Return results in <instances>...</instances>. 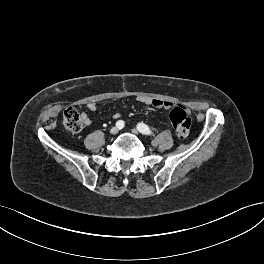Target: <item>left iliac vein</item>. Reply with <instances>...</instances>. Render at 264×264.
Listing matches in <instances>:
<instances>
[{
    "label": "left iliac vein",
    "instance_id": "4c4485c4",
    "mask_svg": "<svg viewBox=\"0 0 264 264\" xmlns=\"http://www.w3.org/2000/svg\"><path fill=\"white\" fill-rule=\"evenodd\" d=\"M131 133H133L135 135H138L139 134V131L137 129H131Z\"/></svg>",
    "mask_w": 264,
    "mask_h": 264
}]
</instances>
